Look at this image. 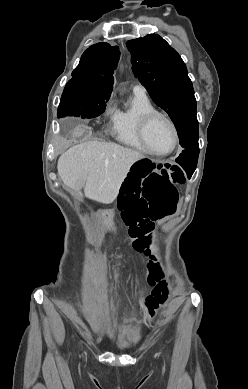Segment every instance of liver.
Instances as JSON below:
<instances>
[{
	"instance_id": "obj_1",
	"label": "liver",
	"mask_w": 248,
	"mask_h": 389,
	"mask_svg": "<svg viewBox=\"0 0 248 389\" xmlns=\"http://www.w3.org/2000/svg\"><path fill=\"white\" fill-rule=\"evenodd\" d=\"M144 155L116 143L88 141L63 153L57 164L58 175L66 186L87 198L111 203L130 167Z\"/></svg>"
}]
</instances>
